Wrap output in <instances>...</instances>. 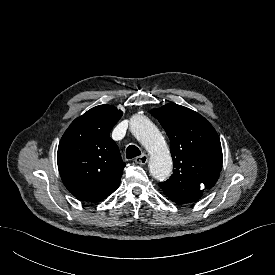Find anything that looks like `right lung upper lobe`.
<instances>
[{
  "instance_id": "1",
  "label": "right lung upper lobe",
  "mask_w": 275,
  "mask_h": 275,
  "mask_svg": "<svg viewBox=\"0 0 275 275\" xmlns=\"http://www.w3.org/2000/svg\"><path fill=\"white\" fill-rule=\"evenodd\" d=\"M122 114L111 105L96 106L62 136L57 152L60 176L78 199L98 202L119 187L125 163L110 131Z\"/></svg>"
}]
</instances>
